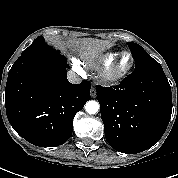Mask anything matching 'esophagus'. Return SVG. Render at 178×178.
<instances>
[{
    "label": "esophagus",
    "instance_id": "34e87169",
    "mask_svg": "<svg viewBox=\"0 0 178 178\" xmlns=\"http://www.w3.org/2000/svg\"><path fill=\"white\" fill-rule=\"evenodd\" d=\"M90 95L92 98H95L96 95H97V92H96V88L95 87H92L91 90H90Z\"/></svg>",
    "mask_w": 178,
    "mask_h": 178
}]
</instances>
